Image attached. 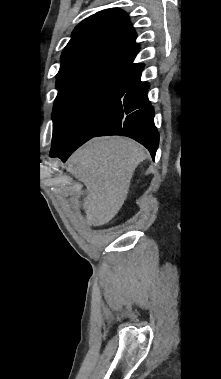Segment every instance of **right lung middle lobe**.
<instances>
[{
    "mask_svg": "<svg viewBox=\"0 0 221 379\" xmlns=\"http://www.w3.org/2000/svg\"><path fill=\"white\" fill-rule=\"evenodd\" d=\"M122 80L98 79L58 93L53 113L52 144L61 139H90L114 110Z\"/></svg>",
    "mask_w": 221,
    "mask_h": 379,
    "instance_id": "1",
    "label": "right lung middle lobe"
}]
</instances>
